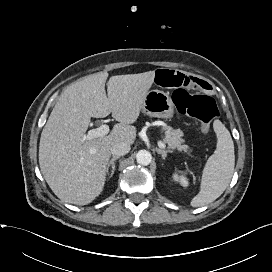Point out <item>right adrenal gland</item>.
<instances>
[{
    "mask_svg": "<svg viewBox=\"0 0 272 272\" xmlns=\"http://www.w3.org/2000/svg\"><path fill=\"white\" fill-rule=\"evenodd\" d=\"M119 158H120L119 156H114V157L111 158V160L107 164L106 172L108 173V175L110 177H112L113 174H114V171H115V161L117 159H119ZM109 169H111L110 173H109Z\"/></svg>",
    "mask_w": 272,
    "mask_h": 272,
    "instance_id": "1",
    "label": "right adrenal gland"
}]
</instances>
